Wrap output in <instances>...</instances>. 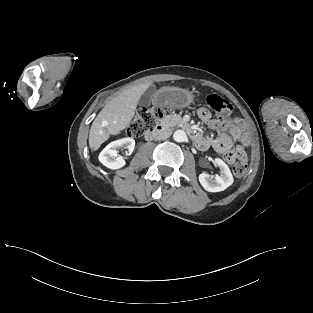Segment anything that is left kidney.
Listing matches in <instances>:
<instances>
[{"label":"left kidney","instance_id":"obj_1","mask_svg":"<svg viewBox=\"0 0 313 313\" xmlns=\"http://www.w3.org/2000/svg\"><path fill=\"white\" fill-rule=\"evenodd\" d=\"M215 164L220 168V175L210 176L206 173L199 175V182L208 192H220L233 184V176L228 165L221 159L216 158Z\"/></svg>","mask_w":313,"mask_h":313}]
</instances>
